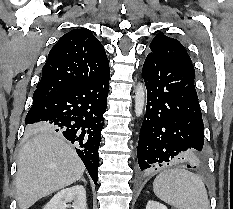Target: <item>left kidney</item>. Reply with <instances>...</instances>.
<instances>
[{
  "label": "left kidney",
  "instance_id": "5707ae66",
  "mask_svg": "<svg viewBox=\"0 0 233 209\" xmlns=\"http://www.w3.org/2000/svg\"><path fill=\"white\" fill-rule=\"evenodd\" d=\"M146 209H168L164 204L149 200L146 205Z\"/></svg>",
  "mask_w": 233,
  "mask_h": 209
}]
</instances>
